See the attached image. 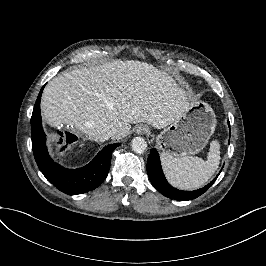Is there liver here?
I'll list each match as a JSON object with an SVG mask.
<instances>
[{
  "label": "liver",
  "mask_w": 266,
  "mask_h": 266,
  "mask_svg": "<svg viewBox=\"0 0 266 266\" xmlns=\"http://www.w3.org/2000/svg\"><path fill=\"white\" fill-rule=\"evenodd\" d=\"M168 75L139 61H112L55 77L44 89L41 108L49 125L68 126L99 141V131L115 129L112 139L130 131V123L162 130L184 117L191 104Z\"/></svg>",
  "instance_id": "1"
}]
</instances>
